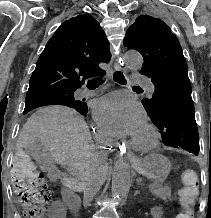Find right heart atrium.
I'll list each match as a JSON object with an SVG mask.
<instances>
[{"mask_svg":"<svg viewBox=\"0 0 211 218\" xmlns=\"http://www.w3.org/2000/svg\"><path fill=\"white\" fill-rule=\"evenodd\" d=\"M96 138L102 143L107 141V138L102 133H97Z\"/></svg>","mask_w":211,"mask_h":218,"instance_id":"obj_1","label":"right heart atrium"}]
</instances>
